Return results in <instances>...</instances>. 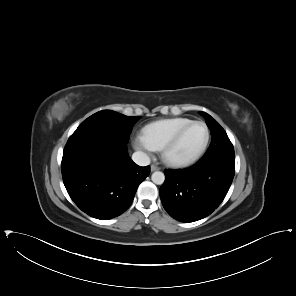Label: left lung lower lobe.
<instances>
[{"mask_svg": "<svg viewBox=\"0 0 296 296\" xmlns=\"http://www.w3.org/2000/svg\"><path fill=\"white\" fill-rule=\"evenodd\" d=\"M164 174L159 193L165 210L178 221L194 222L210 215L225 198L235 174V156L198 161Z\"/></svg>", "mask_w": 296, "mask_h": 296, "instance_id": "0a47b994", "label": "left lung lower lobe"}]
</instances>
